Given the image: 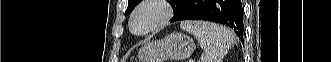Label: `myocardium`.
<instances>
[{
  "instance_id": "obj_1",
  "label": "myocardium",
  "mask_w": 331,
  "mask_h": 62,
  "mask_svg": "<svg viewBox=\"0 0 331 62\" xmlns=\"http://www.w3.org/2000/svg\"><path fill=\"white\" fill-rule=\"evenodd\" d=\"M157 10L156 16L150 24L143 30H136L135 23L137 19L148 9ZM173 16V10L170 3L166 0H148L140 3L131 13L129 18L130 31L136 36H145L165 26Z\"/></svg>"
}]
</instances>
